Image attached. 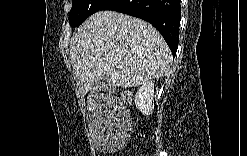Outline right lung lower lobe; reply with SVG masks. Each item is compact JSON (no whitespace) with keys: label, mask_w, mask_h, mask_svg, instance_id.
<instances>
[{"label":"right lung lower lobe","mask_w":247,"mask_h":156,"mask_svg":"<svg viewBox=\"0 0 247 156\" xmlns=\"http://www.w3.org/2000/svg\"><path fill=\"white\" fill-rule=\"evenodd\" d=\"M118 11L151 23L163 36L172 54L177 51L180 0H108L100 9Z\"/></svg>","instance_id":"right-lung-lower-lobe-1"}]
</instances>
